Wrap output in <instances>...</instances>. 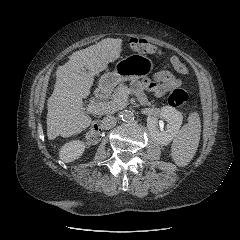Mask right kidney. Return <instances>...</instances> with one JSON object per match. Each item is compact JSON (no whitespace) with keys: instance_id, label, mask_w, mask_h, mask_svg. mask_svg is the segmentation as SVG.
I'll list each match as a JSON object with an SVG mask.
<instances>
[{"instance_id":"1","label":"right kidney","mask_w":240,"mask_h":240,"mask_svg":"<svg viewBox=\"0 0 240 240\" xmlns=\"http://www.w3.org/2000/svg\"><path fill=\"white\" fill-rule=\"evenodd\" d=\"M85 147V143L80 140L67 142L61 147L59 157L65 163L72 162L82 156Z\"/></svg>"}]
</instances>
